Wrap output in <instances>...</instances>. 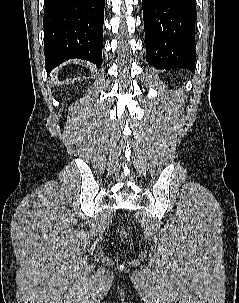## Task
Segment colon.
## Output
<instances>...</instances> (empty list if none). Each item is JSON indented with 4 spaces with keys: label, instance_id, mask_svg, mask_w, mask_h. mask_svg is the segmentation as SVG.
<instances>
[{
    "label": "colon",
    "instance_id": "obj_1",
    "mask_svg": "<svg viewBox=\"0 0 239 303\" xmlns=\"http://www.w3.org/2000/svg\"><path fill=\"white\" fill-rule=\"evenodd\" d=\"M121 235H122V236H125V235H126V231L123 230V231L121 232Z\"/></svg>",
    "mask_w": 239,
    "mask_h": 303
}]
</instances>
